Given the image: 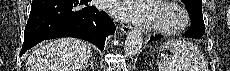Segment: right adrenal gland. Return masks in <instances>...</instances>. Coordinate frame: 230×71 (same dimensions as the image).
Returning a JSON list of instances; mask_svg holds the SVG:
<instances>
[{"label": "right adrenal gland", "instance_id": "right-adrenal-gland-1", "mask_svg": "<svg viewBox=\"0 0 230 71\" xmlns=\"http://www.w3.org/2000/svg\"><path fill=\"white\" fill-rule=\"evenodd\" d=\"M89 67L92 70H94V58L92 56H91V59H90L89 63L85 66L84 70H87Z\"/></svg>", "mask_w": 230, "mask_h": 71}]
</instances>
